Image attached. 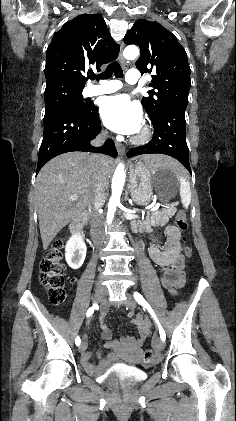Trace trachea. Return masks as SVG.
<instances>
[{"label":"trachea","mask_w":236,"mask_h":421,"mask_svg":"<svg viewBox=\"0 0 236 421\" xmlns=\"http://www.w3.org/2000/svg\"><path fill=\"white\" fill-rule=\"evenodd\" d=\"M113 73L117 78L123 77V70L116 61L110 63L103 73H100L99 75H91V78L92 80H108L111 78Z\"/></svg>","instance_id":"trachea-1"}]
</instances>
